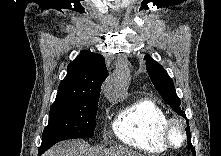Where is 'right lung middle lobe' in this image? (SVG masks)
<instances>
[{
  "mask_svg": "<svg viewBox=\"0 0 221 156\" xmlns=\"http://www.w3.org/2000/svg\"><path fill=\"white\" fill-rule=\"evenodd\" d=\"M98 99V96H92L77 101L54 102L50 108L48 125L43 131L38 156L59 141L92 137Z\"/></svg>",
  "mask_w": 221,
  "mask_h": 156,
  "instance_id": "dd1d6c3e",
  "label": "right lung middle lobe"
}]
</instances>
